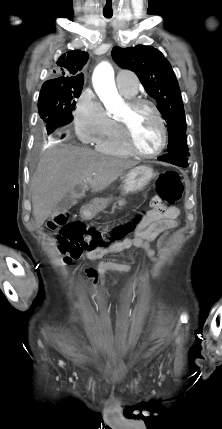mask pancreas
Returning <instances> with one entry per match:
<instances>
[{"instance_id":"pancreas-1","label":"pancreas","mask_w":222,"mask_h":429,"mask_svg":"<svg viewBox=\"0 0 222 429\" xmlns=\"http://www.w3.org/2000/svg\"><path fill=\"white\" fill-rule=\"evenodd\" d=\"M118 203H119L120 206L124 205V201L123 200H120Z\"/></svg>"}]
</instances>
